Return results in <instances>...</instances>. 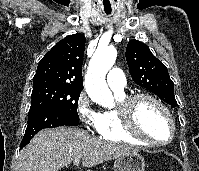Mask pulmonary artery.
<instances>
[{
    "label": "pulmonary artery",
    "instance_id": "obj_1",
    "mask_svg": "<svg viewBox=\"0 0 199 171\" xmlns=\"http://www.w3.org/2000/svg\"><path fill=\"white\" fill-rule=\"evenodd\" d=\"M107 83L113 91H123L126 84L123 71L116 67L110 69L107 75Z\"/></svg>",
    "mask_w": 199,
    "mask_h": 171
}]
</instances>
